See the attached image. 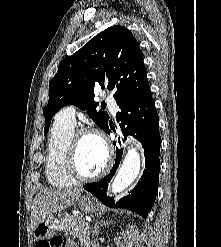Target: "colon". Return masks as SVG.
Returning a JSON list of instances; mask_svg holds the SVG:
<instances>
[{
	"mask_svg": "<svg viewBox=\"0 0 221 247\" xmlns=\"http://www.w3.org/2000/svg\"><path fill=\"white\" fill-rule=\"evenodd\" d=\"M64 242L62 238L55 237L50 240L38 242L36 247H61Z\"/></svg>",
	"mask_w": 221,
	"mask_h": 247,
	"instance_id": "1",
	"label": "colon"
}]
</instances>
